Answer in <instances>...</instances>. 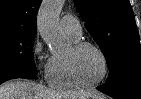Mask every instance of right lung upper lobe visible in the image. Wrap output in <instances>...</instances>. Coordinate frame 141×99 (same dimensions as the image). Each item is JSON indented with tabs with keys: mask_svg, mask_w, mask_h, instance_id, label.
Wrapping results in <instances>:
<instances>
[{
	"mask_svg": "<svg viewBox=\"0 0 141 99\" xmlns=\"http://www.w3.org/2000/svg\"><path fill=\"white\" fill-rule=\"evenodd\" d=\"M41 0H0V30L37 31L36 15Z\"/></svg>",
	"mask_w": 141,
	"mask_h": 99,
	"instance_id": "obj_1",
	"label": "right lung upper lobe"
}]
</instances>
